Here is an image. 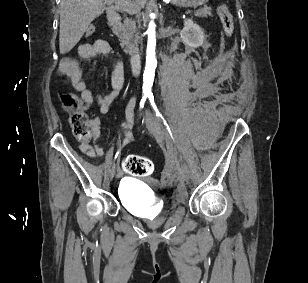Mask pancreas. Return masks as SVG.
<instances>
[{
	"mask_svg": "<svg viewBox=\"0 0 308 283\" xmlns=\"http://www.w3.org/2000/svg\"><path fill=\"white\" fill-rule=\"evenodd\" d=\"M208 15H212L210 7H205L195 13V16L201 18H207ZM115 33L120 38L121 47L124 48L125 53L133 55L138 51L139 37L137 36L135 21L126 18L123 24L115 28Z\"/></svg>",
	"mask_w": 308,
	"mask_h": 283,
	"instance_id": "1",
	"label": "pancreas"
}]
</instances>
